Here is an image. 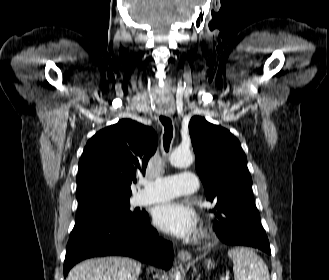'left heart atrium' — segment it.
I'll return each mask as SVG.
<instances>
[{
  "label": "left heart atrium",
  "instance_id": "obj_1",
  "mask_svg": "<svg viewBox=\"0 0 329 280\" xmlns=\"http://www.w3.org/2000/svg\"><path fill=\"white\" fill-rule=\"evenodd\" d=\"M156 226L179 238H192L197 232L195 213L180 202L172 201L158 206L154 212Z\"/></svg>",
  "mask_w": 329,
  "mask_h": 280
}]
</instances>
